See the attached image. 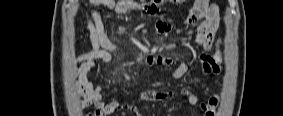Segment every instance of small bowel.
Wrapping results in <instances>:
<instances>
[{
    "mask_svg": "<svg viewBox=\"0 0 283 116\" xmlns=\"http://www.w3.org/2000/svg\"><path fill=\"white\" fill-rule=\"evenodd\" d=\"M93 6L103 5L112 12L120 16H128L136 7L137 2L132 0H91ZM151 13L159 17V9L154 7ZM82 15L86 21L90 34L91 49L75 58L79 64L77 76L79 81L80 93L84 96V102L81 108L95 107L94 115L102 116L113 113L120 109L131 110L135 115L142 113L133 105L123 103L118 100L106 103L103 100V89L88 80L87 74L93 69L97 62L109 63L112 61V54H123L125 49L111 41L105 33L101 16L97 10L83 11ZM195 26V46L199 50L197 58L201 64V75L207 77L214 73H220L222 63V53L220 50V41L216 40V32L219 23V12L216 6H209L205 0H197L195 7L191 11L186 24ZM171 26L162 20H158L154 30V35L158 36L169 32ZM216 43L214 51L213 45ZM139 62L143 66H159L169 71L171 77L175 80H181L191 65L189 60L174 62L167 57L141 56ZM175 66L173 67V65ZM188 104L196 106L199 104L198 97L188 89H181ZM175 95L174 90L153 91L147 90L135 96V99L149 100L153 102H163L171 99ZM218 97L214 96L207 103H200V108L206 116H212L218 106Z\"/></svg>",
    "mask_w": 283,
    "mask_h": 116,
    "instance_id": "obj_1",
    "label": "small bowel"
}]
</instances>
